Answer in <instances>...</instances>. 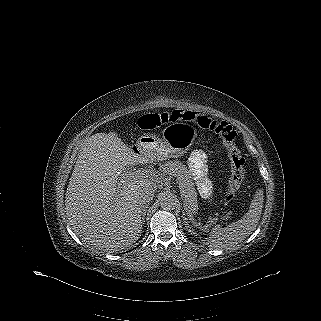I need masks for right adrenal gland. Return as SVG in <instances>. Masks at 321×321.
<instances>
[{"instance_id": "obj_1", "label": "right adrenal gland", "mask_w": 321, "mask_h": 321, "mask_svg": "<svg viewBox=\"0 0 321 321\" xmlns=\"http://www.w3.org/2000/svg\"><path fill=\"white\" fill-rule=\"evenodd\" d=\"M147 208H148V205L142 206V221L143 222H144V217L146 215Z\"/></svg>"}]
</instances>
